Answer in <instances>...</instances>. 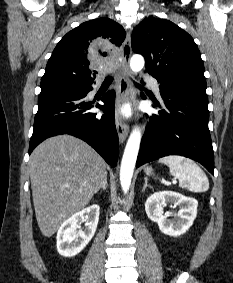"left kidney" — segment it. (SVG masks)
<instances>
[{
  "instance_id": "1",
  "label": "left kidney",
  "mask_w": 233,
  "mask_h": 283,
  "mask_svg": "<svg viewBox=\"0 0 233 283\" xmlns=\"http://www.w3.org/2000/svg\"><path fill=\"white\" fill-rule=\"evenodd\" d=\"M167 204H173L180 208L172 220L163 215V207ZM197 206L198 202L194 198L183 196L177 192L163 191L148 197L145 202V211L148 218L156 222L164 234L177 237L192 226L197 216Z\"/></svg>"
}]
</instances>
